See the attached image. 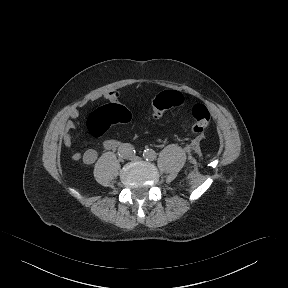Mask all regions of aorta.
<instances>
[{
  "label": "aorta",
  "mask_w": 288,
  "mask_h": 288,
  "mask_svg": "<svg viewBox=\"0 0 288 288\" xmlns=\"http://www.w3.org/2000/svg\"><path fill=\"white\" fill-rule=\"evenodd\" d=\"M149 154L151 156H149ZM143 157L148 160H152L155 157V152L152 149L146 150L143 152Z\"/></svg>",
  "instance_id": "aorta-1"
}]
</instances>
